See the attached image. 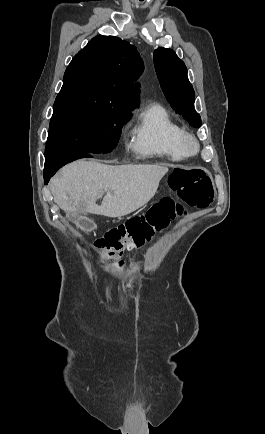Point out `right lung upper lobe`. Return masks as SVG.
Segmentation results:
<instances>
[{
    "mask_svg": "<svg viewBox=\"0 0 265 434\" xmlns=\"http://www.w3.org/2000/svg\"><path fill=\"white\" fill-rule=\"evenodd\" d=\"M143 61L135 46L114 36L98 35L68 65L63 85L87 84L137 103Z\"/></svg>",
    "mask_w": 265,
    "mask_h": 434,
    "instance_id": "1",
    "label": "right lung upper lobe"
}]
</instances>
